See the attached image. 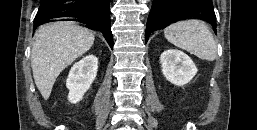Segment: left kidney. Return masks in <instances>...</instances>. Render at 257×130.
<instances>
[{
  "label": "left kidney",
  "instance_id": "obj_1",
  "mask_svg": "<svg viewBox=\"0 0 257 130\" xmlns=\"http://www.w3.org/2000/svg\"><path fill=\"white\" fill-rule=\"evenodd\" d=\"M164 77L176 86L189 83L197 73V68L191 58L184 52L168 49L160 56Z\"/></svg>",
  "mask_w": 257,
  "mask_h": 130
}]
</instances>
